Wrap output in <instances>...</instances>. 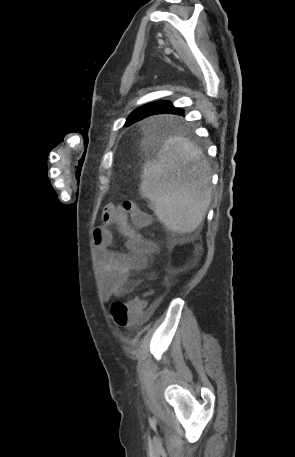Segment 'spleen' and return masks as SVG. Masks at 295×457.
<instances>
[{
  "label": "spleen",
  "instance_id": "1",
  "mask_svg": "<svg viewBox=\"0 0 295 457\" xmlns=\"http://www.w3.org/2000/svg\"><path fill=\"white\" fill-rule=\"evenodd\" d=\"M206 163L188 139L169 138L156 159L143 169L140 191L165 227L176 233L193 232L211 202Z\"/></svg>",
  "mask_w": 295,
  "mask_h": 457
}]
</instances>
